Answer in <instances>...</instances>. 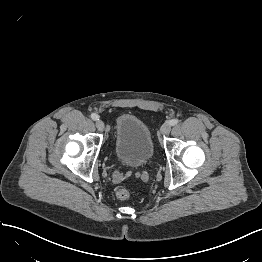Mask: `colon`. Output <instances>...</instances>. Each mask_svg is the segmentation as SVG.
<instances>
[{
    "label": "colon",
    "mask_w": 262,
    "mask_h": 262,
    "mask_svg": "<svg viewBox=\"0 0 262 262\" xmlns=\"http://www.w3.org/2000/svg\"><path fill=\"white\" fill-rule=\"evenodd\" d=\"M116 197L119 200H128L131 197V194L128 189L120 187L116 191Z\"/></svg>",
    "instance_id": "5ec220e1"
}]
</instances>
